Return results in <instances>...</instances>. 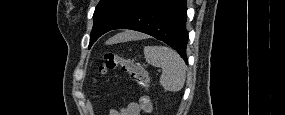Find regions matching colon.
I'll use <instances>...</instances> for the list:
<instances>
[{"label":"colon","instance_id":"5ec220e1","mask_svg":"<svg viewBox=\"0 0 285 115\" xmlns=\"http://www.w3.org/2000/svg\"><path fill=\"white\" fill-rule=\"evenodd\" d=\"M117 68H120L123 72L128 74L141 88L147 89L149 87V73L140 63L113 53L105 54L104 61L98 68V73L103 75L108 70Z\"/></svg>","mask_w":285,"mask_h":115}]
</instances>
